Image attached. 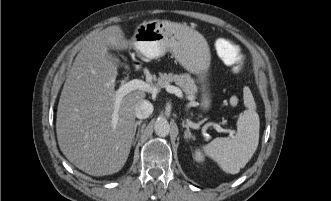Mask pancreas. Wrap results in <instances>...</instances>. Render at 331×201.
<instances>
[{
	"label": "pancreas",
	"instance_id": "1",
	"mask_svg": "<svg viewBox=\"0 0 331 201\" xmlns=\"http://www.w3.org/2000/svg\"><path fill=\"white\" fill-rule=\"evenodd\" d=\"M172 82L178 85L188 96H194L198 91L194 79L186 73L179 75L174 73H161L157 78V85L161 88H166V86L170 85Z\"/></svg>",
	"mask_w": 331,
	"mask_h": 201
}]
</instances>
